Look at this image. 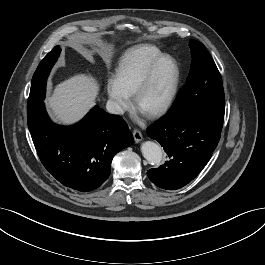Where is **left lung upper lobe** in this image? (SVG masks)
Segmentation results:
<instances>
[{
    "label": "left lung upper lobe",
    "instance_id": "5c2ea615",
    "mask_svg": "<svg viewBox=\"0 0 265 265\" xmlns=\"http://www.w3.org/2000/svg\"><path fill=\"white\" fill-rule=\"evenodd\" d=\"M189 76L168 114L192 113L222 129L225 96L219 70L205 46L191 40Z\"/></svg>",
    "mask_w": 265,
    "mask_h": 265
}]
</instances>
